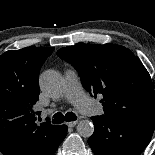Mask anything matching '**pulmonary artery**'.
Masks as SVG:
<instances>
[{
  "mask_svg": "<svg viewBox=\"0 0 155 155\" xmlns=\"http://www.w3.org/2000/svg\"><path fill=\"white\" fill-rule=\"evenodd\" d=\"M65 95L80 113L90 117L97 115L98 107L83 91L74 69H68L65 73Z\"/></svg>",
  "mask_w": 155,
  "mask_h": 155,
  "instance_id": "obj_1",
  "label": "pulmonary artery"
}]
</instances>
